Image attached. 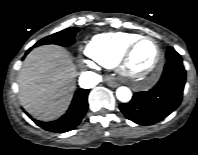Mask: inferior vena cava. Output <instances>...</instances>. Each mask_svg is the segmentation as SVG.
<instances>
[{
  "mask_svg": "<svg viewBox=\"0 0 198 155\" xmlns=\"http://www.w3.org/2000/svg\"><path fill=\"white\" fill-rule=\"evenodd\" d=\"M101 81V76L93 72H83L80 76V86L94 87Z\"/></svg>",
  "mask_w": 198,
  "mask_h": 155,
  "instance_id": "inferior-vena-cava-1",
  "label": "inferior vena cava"
}]
</instances>
